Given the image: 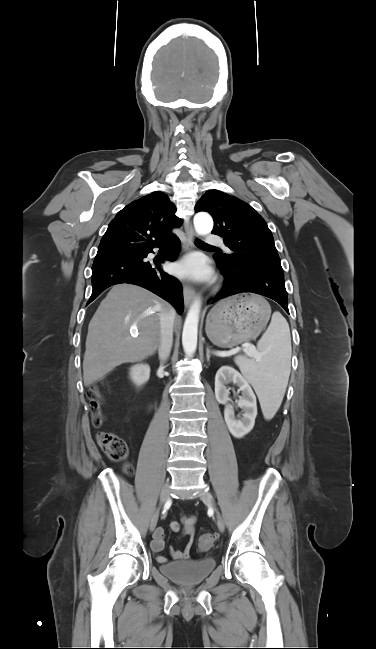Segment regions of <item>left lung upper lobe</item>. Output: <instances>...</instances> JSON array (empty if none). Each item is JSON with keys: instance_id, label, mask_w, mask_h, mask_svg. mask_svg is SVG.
Returning <instances> with one entry per match:
<instances>
[{"instance_id": "left-lung-upper-lobe-1", "label": "left lung upper lobe", "mask_w": 376, "mask_h": 649, "mask_svg": "<svg viewBox=\"0 0 376 649\" xmlns=\"http://www.w3.org/2000/svg\"><path fill=\"white\" fill-rule=\"evenodd\" d=\"M195 210L209 212L212 233L223 237L230 254H214L216 261L233 268L253 264L284 275L274 239L265 220L244 201L218 190L207 191Z\"/></svg>"}]
</instances>
